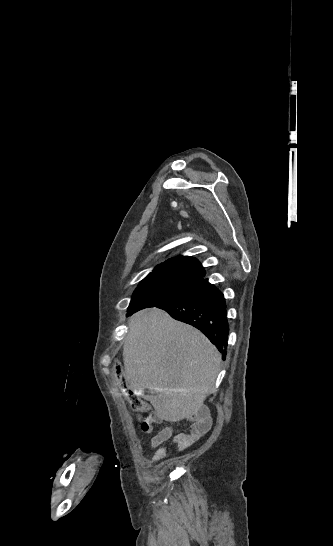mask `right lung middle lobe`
I'll return each mask as SVG.
<instances>
[{"instance_id": "1", "label": "right lung middle lobe", "mask_w": 333, "mask_h": 546, "mask_svg": "<svg viewBox=\"0 0 333 546\" xmlns=\"http://www.w3.org/2000/svg\"><path fill=\"white\" fill-rule=\"evenodd\" d=\"M202 281L168 275H148L135 289L128 311L154 307L196 290Z\"/></svg>"}]
</instances>
